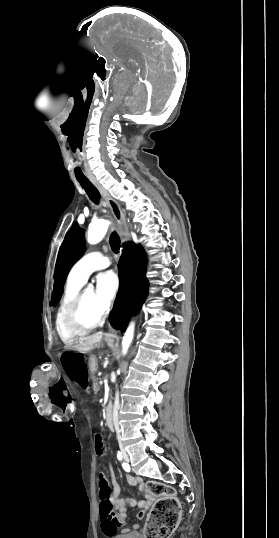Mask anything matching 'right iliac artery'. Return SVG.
Masks as SVG:
<instances>
[{"label": "right iliac artery", "mask_w": 279, "mask_h": 538, "mask_svg": "<svg viewBox=\"0 0 279 538\" xmlns=\"http://www.w3.org/2000/svg\"><path fill=\"white\" fill-rule=\"evenodd\" d=\"M117 458H118L119 461H123V456H122V453H121V452H118V453H117ZM122 466H123V468H124L125 471H127V472L130 471V466H129L127 463L123 462V463H122Z\"/></svg>", "instance_id": "right-iliac-artery-1"}]
</instances>
